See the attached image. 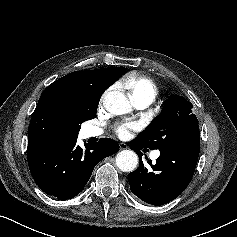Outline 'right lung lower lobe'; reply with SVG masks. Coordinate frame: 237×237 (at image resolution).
Returning <instances> with one entry per match:
<instances>
[{
    "mask_svg": "<svg viewBox=\"0 0 237 237\" xmlns=\"http://www.w3.org/2000/svg\"><path fill=\"white\" fill-rule=\"evenodd\" d=\"M77 136L46 139L28 146V165L33 179L46 194L60 200L78 195L94 167L118 152V143L102 138L97 143L76 145Z\"/></svg>",
    "mask_w": 237,
    "mask_h": 237,
    "instance_id": "right-lung-lower-lobe-1",
    "label": "right lung lower lobe"
}]
</instances>
